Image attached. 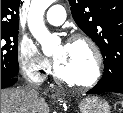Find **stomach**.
<instances>
[{
	"label": "stomach",
	"instance_id": "1",
	"mask_svg": "<svg viewBox=\"0 0 123 113\" xmlns=\"http://www.w3.org/2000/svg\"><path fill=\"white\" fill-rule=\"evenodd\" d=\"M81 113H110V106L107 101L99 97H87L79 102Z\"/></svg>",
	"mask_w": 123,
	"mask_h": 113
}]
</instances>
